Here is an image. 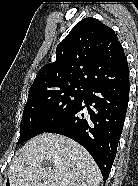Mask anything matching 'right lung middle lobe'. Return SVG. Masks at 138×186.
<instances>
[{"label": "right lung middle lobe", "instance_id": "right-lung-middle-lobe-1", "mask_svg": "<svg viewBox=\"0 0 138 186\" xmlns=\"http://www.w3.org/2000/svg\"><path fill=\"white\" fill-rule=\"evenodd\" d=\"M86 90L81 85H69L29 94L17 144L44 133L66 117L82 102Z\"/></svg>", "mask_w": 138, "mask_h": 186}]
</instances>
